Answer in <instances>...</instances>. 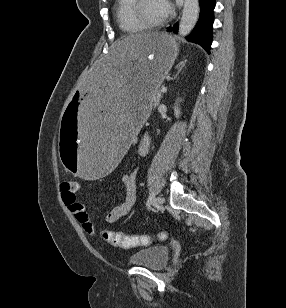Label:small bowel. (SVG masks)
<instances>
[{"label": "small bowel", "mask_w": 286, "mask_h": 308, "mask_svg": "<svg viewBox=\"0 0 286 308\" xmlns=\"http://www.w3.org/2000/svg\"><path fill=\"white\" fill-rule=\"evenodd\" d=\"M149 139L142 138L138 145V154L145 156L149 151ZM122 184L125 188V199L122 203L114 207L106 216V221L110 224L118 222L122 217L126 216L133 208L136 202L137 172L132 171L122 177ZM63 201L69 207L70 212L76 218L83 230L89 235L96 237V228L88 216L84 206L77 201L76 195L68 197L63 195Z\"/></svg>", "instance_id": "1"}]
</instances>
